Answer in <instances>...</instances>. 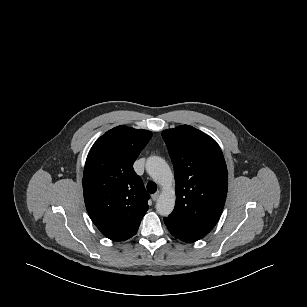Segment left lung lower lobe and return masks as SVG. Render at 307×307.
Instances as JSON below:
<instances>
[{"instance_id": "left-lung-lower-lobe-1", "label": "left lung lower lobe", "mask_w": 307, "mask_h": 307, "mask_svg": "<svg viewBox=\"0 0 307 307\" xmlns=\"http://www.w3.org/2000/svg\"><path fill=\"white\" fill-rule=\"evenodd\" d=\"M164 222H165L168 230L170 231V233L174 237H176V238H178V239H180V240H182L184 242H195V241L198 240L197 238H195L193 236H190V235L184 233L183 231L179 230L177 227H175L172 223H170L165 218H164Z\"/></svg>"}]
</instances>
